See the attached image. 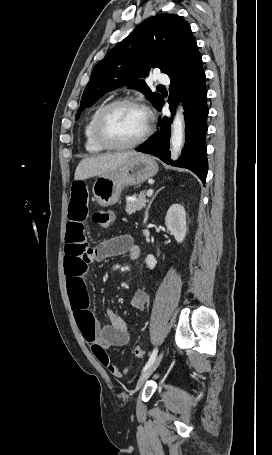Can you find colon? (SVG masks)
Wrapping results in <instances>:
<instances>
[{"label": "colon", "instance_id": "obj_1", "mask_svg": "<svg viewBox=\"0 0 272 455\" xmlns=\"http://www.w3.org/2000/svg\"><path fill=\"white\" fill-rule=\"evenodd\" d=\"M92 220L102 231H107L112 224L113 214L110 211L98 209L94 211ZM134 353L138 358H143L145 355L144 350L140 346L135 347Z\"/></svg>", "mask_w": 272, "mask_h": 455}]
</instances>
